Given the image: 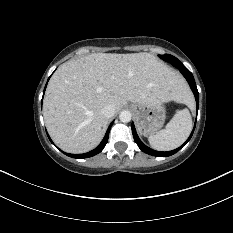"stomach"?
<instances>
[{
    "mask_svg": "<svg viewBox=\"0 0 233 233\" xmlns=\"http://www.w3.org/2000/svg\"><path fill=\"white\" fill-rule=\"evenodd\" d=\"M131 108L140 134L147 136L162 128L165 121V109L162 103L156 105L133 103Z\"/></svg>",
    "mask_w": 233,
    "mask_h": 233,
    "instance_id": "stomach-1",
    "label": "stomach"
}]
</instances>
